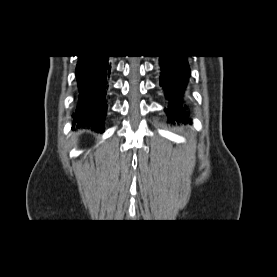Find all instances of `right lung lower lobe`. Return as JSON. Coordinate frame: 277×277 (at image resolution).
I'll list each match as a JSON object with an SVG mask.
<instances>
[{
  "instance_id": "obj_1",
  "label": "right lung lower lobe",
  "mask_w": 277,
  "mask_h": 277,
  "mask_svg": "<svg viewBox=\"0 0 277 277\" xmlns=\"http://www.w3.org/2000/svg\"><path fill=\"white\" fill-rule=\"evenodd\" d=\"M76 77L78 105L74 114L77 128L102 132L107 109L106 93L112 62L109 56H78ZM74 126V125H73Z\"/></svg>"
}]
</instances>
